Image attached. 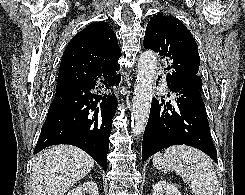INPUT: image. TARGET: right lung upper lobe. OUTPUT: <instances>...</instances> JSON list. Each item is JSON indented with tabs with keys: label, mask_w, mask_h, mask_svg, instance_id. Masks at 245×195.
Instances as JSON below:
<instances>
[{
	"label": "right lung upper lobe",
	"mask_w": 245,
	"mask_h": 195,
	"mask_svg": "<svg viewBox=\"0 0 245 195\" xmlns=\"http://www.w3.org/2000/svg\"><path fill=\"white\" fill-rule=\"evenodd\" d=\"M121 50L117 37L106 22H93L68 43L60 64L57 86L90 81L96 71L117 74Z\"/></svg>",
	"instance_id": "1"
}]
</instances>
